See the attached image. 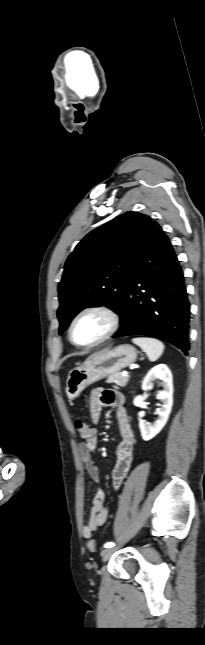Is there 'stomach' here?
Returning a JSON list of instances; mask_svg holds the SVG:
<instances>
[{
	"mask_svg": "<svg viewBox=\"0 0 205 645\" xmlns=\"http://www.w3.org/2000/svg\"><path fill=\"white\" fill-rule=\"evenodd\" d=\"M136 349L129 344H122L113 349H104L93 354L86 362L72 369L66 380V394L70 400L75 399L89 385L106 378L135 362Z\"/></svg>",
	"mask_w": 205,
	"mask_h": 645,
	"instance_id": "0dacf381",
	"label": "stomach"
}]
</instances>
